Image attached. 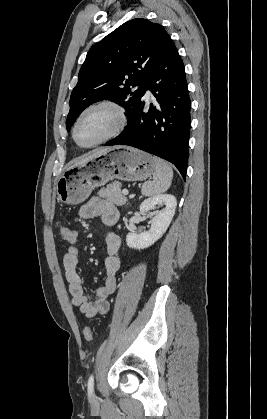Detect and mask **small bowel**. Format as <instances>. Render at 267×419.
Segmentation results:
<instances>
[{
  "mask_svg": "<svg viewBox=\"0 0 267 419\" xmlns=\"http://www.w3.org/2000/svg\"><path fill=\"white\" fill-rule=\"evenodd\" d=\"M77 214L81 219L100 217L105 226L115 225L119 218V211L115 205L104 198L98 197L92 198L82 205ZM106 244L108 256L104 262V283L95 289L94 300H90L84 291L83 279L78 272L79 251L75 243L70 244L63 258L71 302L87 318H93L108 311L110 307L109 297L115 292L117 287V272L121 264L118 257L121 240L117 232L111 231L107 234Z\"/></svg>",
  "mask_w": 267,
  "mask_h": 419,
  "instance_id": "c3829d8e",
  "label": "small bowel"
}]
</instances>
